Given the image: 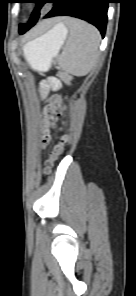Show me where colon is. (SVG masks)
<instances>
[{"instance_id": "1", "label": "colon", "mask_w": 136, "mask_h": 296, "mask_svg": "<svg viewBox=\"0 0 136 296\" xmlns=\"http://www.w3.org/2000/svg\"><path fill=\"white\" fill-rule=\"evenodd\" d=\"M47 120L46 125H49L53 120H55L58 116L61 115V106H60V98L54 97L51 101V105L47 109L46 112ZM50 141V136L47 132H45L41 137V142L43 145H48ZM61 152V144H57L53 146L49 153V159L47 160V168L51 166L53 160L60 154Z\"/></svg>"}]
</instances>
